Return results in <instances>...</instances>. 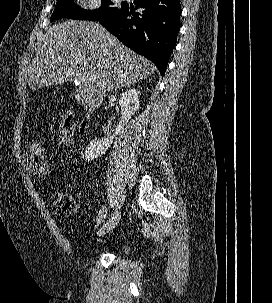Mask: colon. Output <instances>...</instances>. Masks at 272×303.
I'll return each instance as SVG.
<instances>
[{"mask_svg":"<svg viewBox=\"0 0 272 303\" xmlns=\"http://www.w3.org/2000/svg\"><path fill=\"white\" fill-rule=\"evenodd\" d=\"M73 131L71 116L66 115L60 126L62 146L68 147L71 144ZM29 149L33 169L41 174L49 172L47 152L44 145L39 141H35L30 145ZM50 202L52 210L59 216H71L78 211V202L68 194L55 193L51 196Z\"/></svg>","mask_w":272,"mask_h":303,"instance_id":"5ec220e1","label":"colon"}]
</instances>
